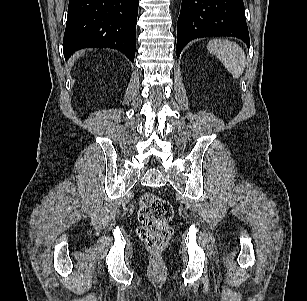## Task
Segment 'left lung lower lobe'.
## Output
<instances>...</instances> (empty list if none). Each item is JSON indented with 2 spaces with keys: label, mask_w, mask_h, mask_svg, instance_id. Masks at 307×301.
Segmentation results:
<instances>
[{
  "label": "left lung lower lobe",
  "mask_w": 307,
  "mask_h": 301,
  "mask_svg": "<svg viewBox=\"0 0 307 301\" xmlns=\"http://www.w3.org/2000/svg\"><path fill=\"white\" fill-rule=\"evenodd\" d=\"M233 36L250 47L243 0H183L177 24V57L196 38Z\"/></svg>",
  "instance_id": "obj_1"
}]
</instances>
